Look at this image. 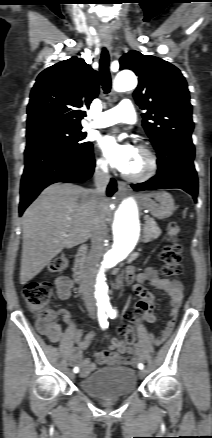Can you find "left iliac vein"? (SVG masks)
I'll return each mask as SVG.
<instances>
[{"label": "left iliac vein", "instance_id": "4c4485c4", "mask_svg": "<svg viewBox=\"0 0 212 438\" xmlns=\"http://www.w3.org/2000/svg\"><path fill=\"white\" fill-rule=\"evenodd\" d=\"M146 374H147L146 370H140L139 371L140 378H144L146 376Z\"/></svg>", "mask_w": 212, "mask_h": 438}]
</instances>
